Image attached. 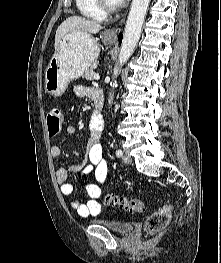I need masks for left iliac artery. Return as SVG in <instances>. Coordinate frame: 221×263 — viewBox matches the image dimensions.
I'll return each instance as SVG.
<instances>
[{
    "mask_svg": "<svg viewBox=\"0 0 221 263\" xmlns=\"http://www.w3.org/2000/svg\"><path fill=\"white\" fill-rule=\"evenodd\" d=\"M122 151L120 150V149H118L117 151H116V155L118 156V157H121L122 156Z\"/></svg>",
    "mask_w": 221,
    "mask_h": 263,
    "instance_id": "44dca946",
    "label": "left iliac artery"
}]
</instances>
